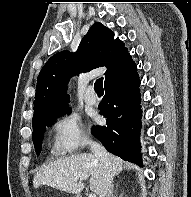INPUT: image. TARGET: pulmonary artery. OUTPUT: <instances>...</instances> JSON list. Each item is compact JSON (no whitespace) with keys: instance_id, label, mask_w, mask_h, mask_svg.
Here are the masks:
<instances>
[{"instance_id":"1","label":"pulmonary artery","mask_w":191,"mask_h":197,"mask_svg":"<svg viewBox=\"0 0 191 197\" xmlns=\"http://www.w3.org/2000/svg\"><path fill=\"white\" fill-rule=\"evenodd\" d=\"M84 100L88 105H95L97 103V97L94 94V89L92 86H89L86 89Z\"/></svg>"}]
</instances>
